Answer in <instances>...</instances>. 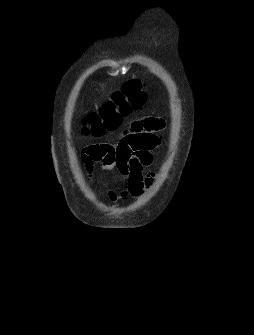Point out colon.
<instances>
[{"label":"colon","mask_w":254,"mask_h":335,"mask_svg":"<svg viewBox=\"0 0 254 335\" xmlns=\"http://www.w3.org/2000/svg\"><path fill=\"white\" fill-rule=\"evenodd\" d=\"M146 95L139 81H128L122 90L116 91L98 112L90 113L86 118L89 128L85 133L100 136L113 131L120 125L121 119L140 109L145 103ZM126 136V135H124Z\"/></svg>","instance_id":"1"}]
</instances>
